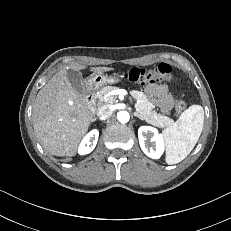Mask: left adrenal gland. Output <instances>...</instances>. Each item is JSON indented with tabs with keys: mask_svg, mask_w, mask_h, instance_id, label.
<instances>
[{
	"mask_svg": "<svg viewBox=\"0 0 231 231\" xmlns=\"http://www.w3.org/2000/svg\"><path fill=\"white\" fill-rule=\"evenodd\" d=\"M134 116L138 117L140 120H143L137 112H134Z\"/></svg>",
	"mask_w": 231,
	"mask_h": 231,
	"instance_id": "1",
	"label": "left adrenal gland"
}]
</instances>
